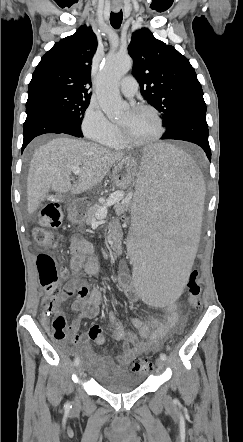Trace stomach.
I'll return each instance as SVG.
<instances>
[{
	"instance_id": "0dacf381",
	"label": "stomach",
	"mask_w": 243,
	"mask_h": 442,
	"mask_svg": "<svg viewBox=\"0 0 243 442\" xmlns=\"http://www.w3.org/2000/svg\"><path fill=\"white\" fill-rule=\"evenodd\" d=\"M137 161L132 157H125L119 161L112 172V180L120 189H126L134 183L136 177ZM68 218L72 223L81 224L86 218L75 206L68 210Z\"/></svg>"
}]
</instances>
